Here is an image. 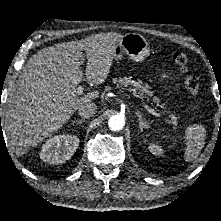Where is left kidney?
<instances>
[{
  "mask_svg": "<svg viewBox=\"0 0 221 221\" xmlns=\"http://www.w3.org/2000/svg\"><path fill=\"white\" fill-rule=\"evenodd\" d=\"M149 151L154 155H162L164 153V150L161 146L157 144L150 143L148 146Z\"/></svg>",
  "mask_w": 221,
  "mask_h": 221,
  "instance_id": "5707ae66",
  "label": "left kidney"
}]
</instances>
